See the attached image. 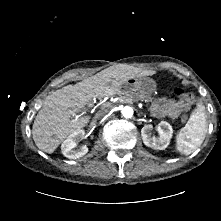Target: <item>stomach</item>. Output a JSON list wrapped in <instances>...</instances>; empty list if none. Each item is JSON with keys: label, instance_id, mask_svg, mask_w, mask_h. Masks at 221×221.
Instances as JSON below:
<instances>
[{"label": "stomach", "instance_id": "obj_1", "mask_svg": "<svg viewBox=\"0 0 221 221\" xmlns=\"http://www.w3.org/2000/svg\"><path fill=\"white\" fill-rule=\"evenodd\" d=\"M122 85L124 92L136 97L150 94L153 90L152 80L147 77H131Z\"/></svg>", "mask_w": 221, "mask_h": 221}]
</instances>
